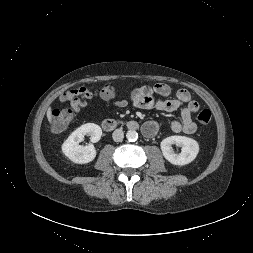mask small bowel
Wrapping results in <instances>:
<instances>
[{"mask_svg":"<svg viewBox=\"0 0 253 253\" xmlns=\"http://www.w3.org/2000/svg\"><path fill=\"white\" fill-rule=\"evenodd\" d=\"M170 93L171 88L165 83H157L154 86H142L132 91L131 101L134 106L146 110L156 109L173 112L182 107L181 119L172 121L170 128L174 133L194 134L197 126L192 119V114L199 110L198 102L192 100L189 91L186 89H179L174 99H165ZM92 96L93 94L89 89L79 87L63 93L60 101L69 102L73 111L78 113L81 108L87 105V101ZM114 104L118 107H124L127 102L126 100H117ZM158 129L159 125L156 121H147L143 125V133L148 137L154 136Z\"/></svg>","mask_w":253,"mask_h":253,"instance_id":"small-bowel-1","label":"small bowel"}]
</instances>
